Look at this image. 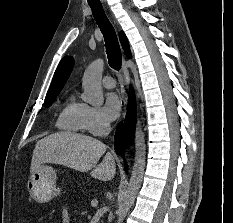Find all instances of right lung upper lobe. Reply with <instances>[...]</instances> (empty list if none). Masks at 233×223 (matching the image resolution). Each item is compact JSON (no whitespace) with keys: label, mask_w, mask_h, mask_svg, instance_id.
Listing matches in <instances>:
<instances>
[{"label":"right lung upper lobe","mask_w":233,"mask_h":223,"mask_svg":"<svg viewBox=\"0 0 233 223\" xmlns=\"http://www.w3.org/2000/svg\"><path fill=\"white\" fill-rule=\"evenodd\" d=\"M119 38L125 53L128 55L129 45L126 36L122 31L119 33ZM73 63H74L73 58L69 56L63 57L62 60L60 61L59 66L54 73L51 86L45 98L46 105L52 103L53 100L57 97V95L61 91V89L63 88V85L65 84L67 78L71 73Z\"/></svg>","instance_id":"1"}]
</instances>
